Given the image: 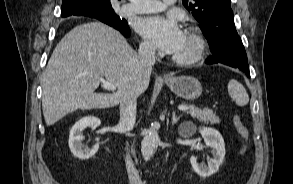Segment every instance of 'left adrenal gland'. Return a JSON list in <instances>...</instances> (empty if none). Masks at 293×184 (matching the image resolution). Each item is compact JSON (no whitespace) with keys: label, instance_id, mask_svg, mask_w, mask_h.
Masks as SVG:
<instances>
[{"label":"left adrenal gland","instance_id":"1","mask_svg":"<svg viewBox=\"0 0 293 184\" xmlns=\"http://www.w3.org/2000/svg\"><path fill=\"white\" fill-rule=\"evenodd\" d=\"M182 117V115H180L179 117L176 116L175 112H173L172 114V125H175L179 119Z\"/></svg>","mask_w":293,"mask_h":184}]
</instances>
